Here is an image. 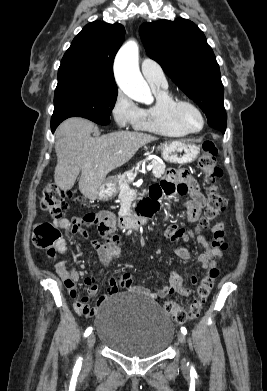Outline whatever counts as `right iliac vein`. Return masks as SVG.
<instances>
[{"label": "right iliac vein", "mask_w": 267, "mask_h": 391, "mask_svg": "<svg viewBox=\"0 0 267 391\" xmlns=\"http://www.w3.org/2000/svg\"><path fill=\"white\" fill-rule=\"evenodd\" d=\"M95 341H96L95 334L91 333L87 339V347H88L87 356H86L87 364L91 361V350L94 347Z\"/></svg>", "instance_id": "1"}]
</instances>
